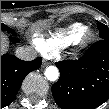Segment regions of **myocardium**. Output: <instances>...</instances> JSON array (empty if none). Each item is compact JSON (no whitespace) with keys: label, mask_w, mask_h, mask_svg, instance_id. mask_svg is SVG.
Masks as SVG:
<instances>
[{"label":"myocardium","mask_w":109,"mask_h":109,"mask_svg":"<svg viewBox=\"0 0 109 109\" xmlns=\"http://www.w3.org/2000/svg\"><path fill=\"white\" fill-rule=\"evenodd\" d=\"M93 32L92 31H87L78 41L82 46L86 45L93 39Z\"/></svg>","instance_id":"f54148a6"}]
</instances>
